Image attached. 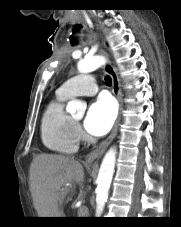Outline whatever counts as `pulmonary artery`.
I'll list each match as a JSON object with an SVG mask.
<instances>
[{"instance_id":"pulmonary-artery-1","label":"pulmonary artery","mask_w":181,"mask_h":227,"mask_svg":"<svg viewBox=\"0 0 181 227\" xmlns=\"http://www.w3.org/2000/svg\"><path fill=\"white\" fill-rule=\"evenodd\" d=\"M58 92L66 97L92 96L98 92V87L92 76H76L63 83Z\"/></svg>"}]
</instances>
